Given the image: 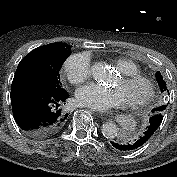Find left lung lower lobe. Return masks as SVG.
<instances>
[{
  "mask_svg": "<svg viewBox=\"0 0 177 177\" xmlns=\"http://www.w3.org/2000/svg\"><path fill=\"white\" fill-rule=\"evenodd\" d=\"M161 107H157L153 109V115L149 119V124L147 126L146 131L137 139H124V140H114L111 142L113 147L120 151H132L135 149H138L141 147L143 144H145L151 136L154 134V132L157 130L159 127L161 121H162V113H161Z\"/></svg>",
  "mask_w": 177,
  "mask_h": 177,
  "instance_id": "obj_1",
  "label": "left lung lower lobe"
}]
</instances>
